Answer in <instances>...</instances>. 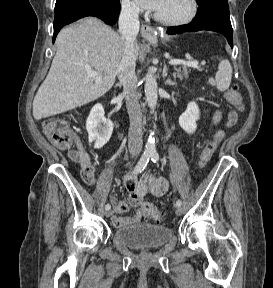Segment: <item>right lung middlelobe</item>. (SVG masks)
Masks as SVG:
<instances>
[{
	"instance_id": "1",
	"label": "right lung middle lobe",
	"mask_w": 273,
	"mask_h": 288,
	"mask_svg": "<svg viewBox=\"0 0 273 288\" xmlns=\"http://www.w3.org/2000/svg\"><path fill=\"white\" fill-rule=\"evenodd\" d=\"M91 3H95L105 7H114L118 5L119 0H56L55 9H58L62 6L86 5Z\"/></svg>"
}]
</instances>
